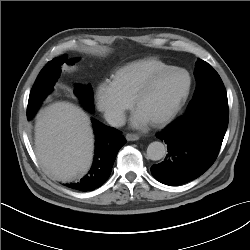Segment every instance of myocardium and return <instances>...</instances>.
Returning <instances> with one entry per match:
<instances>
[{"mask_svg": "<svg viewBox=\"0 0 250 250\" xmlns=\"http://www.w3.org/2000/svg\"><path fill=\"white\" fill-rule=\"evenodd\" d=\"M183 72L186 74L187 76V86L186 89L183 93V95L180 97V99L176 102V104L171 108V110L166 113L164 116H162L161 118L151 122V124L154 127H161L165 124H167L168 122H170L176 115L177 113L181 110V108L184 106V104L186 103L191 89H192V76L190 74V72L188 70H186L185 68L182 67H177V66H171L165 69H162L156 73H154L152 76H150L146 82L139 88V90L137 91L136 95L134 96L133 102H134V106L137 108L139 102L149 94V92L153 89V87L155 86V84L158 82L159 79H161L163 76L171 73V72Z\"/></svg>", "mask_w": 250, "mask_h": 250, "instance_id": "1", "label": "myocardium"}]
</instances>
